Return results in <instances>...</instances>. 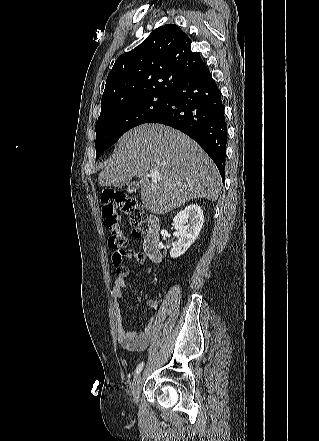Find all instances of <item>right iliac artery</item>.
<instances>
[{"label":"right iliac artery","mask_w":319,"mask_h":441,"mask_svg":"<svg viewBox=\"0 0 319 441\" xmlns=\"http://www.w3.org/2000/svg\"><path fill=\"white\" fill-rule=\"evenodd\" d=\"M144 366V362H141L138 364L137 368H136V374H139L141 372V370L143 369Z\"/></svg>","instance_id":"1"}]
</instances>
